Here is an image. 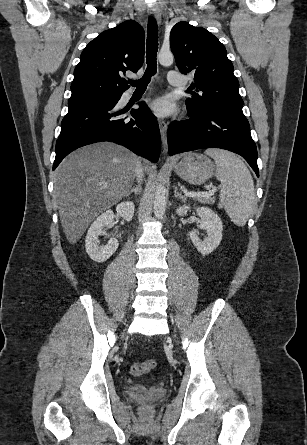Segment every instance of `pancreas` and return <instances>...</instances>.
I'll use <instances>...</instances> for the list:
<instances>
[{"instance_id": "1", "label": "pancreas", "mask_w": 307, "mask_h": 445, "mask_svg": "<svg viewBox=\"0 0 307 445\" xmlns=\"http://www.w3.org/2000/svg\"><path fill=\"white\" fill-rule=\"evenodd\" d=\"M195 200H199V202H203V204H213L215 202V196H211V194H205V196H193Z\"/></svg>"}]
</instances>
